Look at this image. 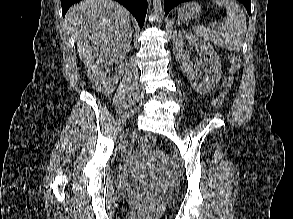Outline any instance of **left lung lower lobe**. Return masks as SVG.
Segmentation results:
<instances>
[{"instance_id": "obj_1", "label": "left lung lower lobe", "mask_w": 293, "mask_h": 219, "mask_svg": "<svg viewBox=\"0 0 293 219\" xmlns=\"http://www.w3.org/2000/svg\"><path fill=\"white\" fill-rule=\"evenodd\" d=\"M187 1H190V0H165V4H164V10H165V15H167L169 13V11L175 7L176 5L182 3V2H187ZM239 2H241L248 14L250 15L251 13V0H238Z\"/></svg>"}]
</instances>
